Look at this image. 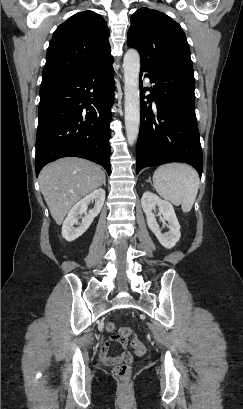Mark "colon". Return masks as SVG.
I'll use <instances>...</instances> for the list:
<instances>
[{
	"instance_id": "colon-1",
	"label": "colon",
	"mask_w": 243,
	"mask_h": 409,
	"mask_svg": "<svg viewBox=\"0 0 243 409\" xmlns=\"http://www.w3.org/2000/svg\"><path fill=\"white\" fill-rule=\"evenodd\" d=\"M106 329L109 332H114L116 331L117 327L114 323L109 322L106 326ZM119 340L125 341L128 340L129 338L131 339V346L135 350V352L139 355H142L145 353L146 349L144 344L138 340L136 335L133 333V331L129 328L122 327L118 330V337ZM132 368L131 365L129 364L128 361L123 362L113 368V374L121 379L124 382H128L131 376Z\"/></svg>"
}]
</instances>
